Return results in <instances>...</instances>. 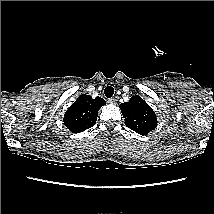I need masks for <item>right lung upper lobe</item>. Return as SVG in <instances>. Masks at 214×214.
Segmentation results:
<instances>
[{
    "instance_id": "cb5924a9",
    "label": "right lung upper lobe",
    "mask_w": 214,
    "mask_h": 214,
    "mask_svg": "<svg viewBox=\"0 0 214 214\" xmlns=\"http://www.w3.org/2000/svg\"><path fill=\"white\" fill-rule=\"evenodd\" d=\"M104 99L82 94L65 112L63 122L74 132H83L95 125L99 109L105 105Z\"/></svg>"
}]
</instances>
